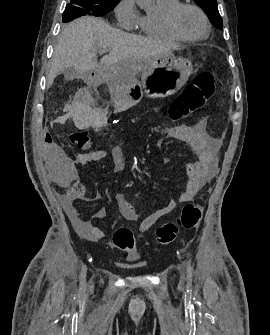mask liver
Returning <instances> with one entry per match:
<instances>
[{"label": "liver", "mask_w": 270, "mask_h": 335, "mask_svg": "<svg viewBox=\"0 0 270 335\" xmlns=\"http://www.w3.org/2000/svg\"><path fill=\"white\" fill-rule=\"evenodd\" d=\"M100 50L110 52L97 64L96 54ZM173 48L157 44L151 38L127 34L112 28L102 18L84 16L62 28L58 44L54 50L48 86L53 84L58 72L74 68L78 72H95L135 82L137 74L144 68L147 60L165 56Z\"/></svg>", "instance_id": "liver-1"}]
</instances>
